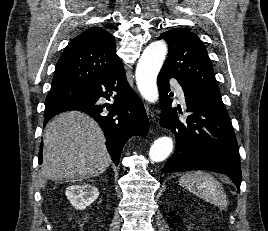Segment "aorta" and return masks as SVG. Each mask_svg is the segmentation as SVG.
Listing matches in <instances>:
<instances>
[{
  "label": "aorta",
  "mask_w": 268,
  "mask_h": 231,
  "mask_svg": "<svg viewBox=\"0 0 268 231\" xmlns=\"http://www.w3.org/2000/svg\"><path fill=\"white\" fill-rule=\"evenodd\" d=\"M167 54V45L163 41L151 43L142 53L136 68V82L142 97L148 102L158 100L157 76ZM173 149V141L168 136L159 137L149 151L153 162L165 160Z\"/></svg>",
  "instance_id": "obj_1"
}]
</instances>
